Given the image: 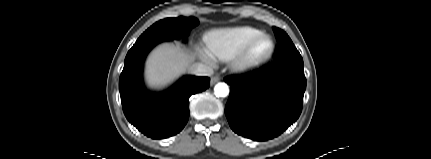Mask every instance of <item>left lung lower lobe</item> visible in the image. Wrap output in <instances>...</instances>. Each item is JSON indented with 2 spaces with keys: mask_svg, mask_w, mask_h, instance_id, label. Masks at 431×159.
I'll list each match as a JSON object with an SVG mask.
<instances>
[{
  "mask_svg": "<svg viewBox=\"0 0 431 159\" xmlns=\"http://www.w3.org/2000/svg\"><path fill=\"white\" fill-rule=\"evenodd\" d=\"M303 60L274 61L224 78L230 85L225 114L231 129L254 141L279 136L300 116L306 78Z\"/></svg>",
  "mask_w": 431,
  "mask_h": 159,
  "instance_id": "obj_1",
  "label": "left lung lower lobe"
}]
</instances>
